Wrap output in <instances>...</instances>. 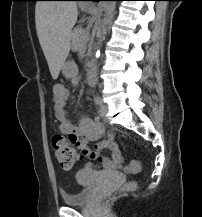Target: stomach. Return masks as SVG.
I'll return each instance as SVG.
<instances>
[{
	"mask_svg": "<svg viewBox=\"0 0 202 217\" xmlns=\"http://www.w3.org/2000/svg\"><path fill=\"white\" fill-rule=\"evenodd\" d=\"M62 74L66 78H72L77 74V66L73 61H67L62 67Z\"/></svg>",
	"mask_w": 202,
	"mask_h": 217,
	"instance_id": "obj_1",
	"label": "stomach"
}]
</instances>
